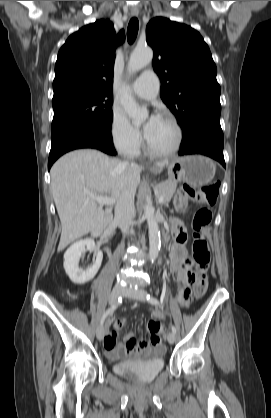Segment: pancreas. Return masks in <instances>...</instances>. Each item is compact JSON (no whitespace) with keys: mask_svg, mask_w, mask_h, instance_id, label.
Here are the masks:
<instances>
[{"mask_svg":"<svg viewBox=\"0 0 271 418\" xmlns=\"http://www.w3.org/2000/svg\"><path fill=\"white\" fill-rule=\"evenodd\" d=\"M177 182L172 180L164 181L154 187L157 197H163V204L166 205L171 200L176 191Z\"/></svg>","mask_w":271,"mask_h":418,"instance_id":"obj_1","label":"pancreas"}]
</instances>
